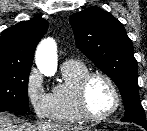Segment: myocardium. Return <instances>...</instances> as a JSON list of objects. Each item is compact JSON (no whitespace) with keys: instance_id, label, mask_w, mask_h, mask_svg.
I'll list each match as a JSON object with an SVG mask.
<instances>
[{"instance_id":"f54148a6","label":"myocardium","mask_w":147,"mask_h":131,"mask_svg":"<svg viewBox=\"0 0 147 131\" xmlns=\"http://www.w3.org/2000/svg\"><path fill=\"white\" fill-rule=\"evenodd\" d=\"M103 78L111 87L114 95V105L112 109L103 115H94L87 105V88L93 78ZM77 108L84 120L90 122H102L112 117L120 107L121 95L115 81L106 73L101 71H89L81 77L76 87Z\"/></svg>"}]
</instances>
